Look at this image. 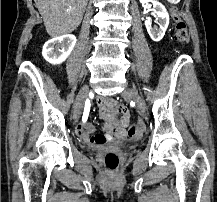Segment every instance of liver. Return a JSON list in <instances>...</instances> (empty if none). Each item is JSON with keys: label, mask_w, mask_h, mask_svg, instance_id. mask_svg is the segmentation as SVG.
I'll use <instances>...</instances> for the list:
<instances>
[{"label": "liver", "mask_w": 217, "mask_h": 202, "mask_svg": "<svg viewBox=\"0 0 217 202\" xmlns=\"http://www.w3.org/2000/svg\"><path fill=\"white\" fill-rule=\"evenodd\" d=\"M47 34L59 38L77 30L88 0H34Z\"/></svg>", "instance_id": "1"}]
</instances>
